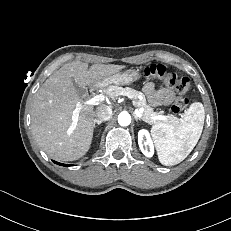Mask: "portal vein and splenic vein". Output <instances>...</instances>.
Returning <instances> with one entry per match:
<instances>
[{
  "mask_svg": "<svg viewBox=\"0 0 231 231\" xmlns=\"http://www.w3.org/2000/svg\"><path fill=\"white\" fill-rule=\"evenodd\" d=\"M105 100V96L103 94H99V95H96L94 97H92L91 99H89L88 101H85V104L87 105H98L100 102L104 101ZM79 112H80V109L79 108H76L73 112V115H72V120H73V123L70 127V130H73L76 125H77V122H78V117H79ZM143 112V109H135V114L138 116V117H142V113ZM154 119H165L166 117L163 116V115H157L155 117H153Z\"/></svg>",
  "mask_w": 231,
  "mask_h": 231,
  "instance_id": "1",
  "label": "portal vein and splenic vein"
}]
</instances>
